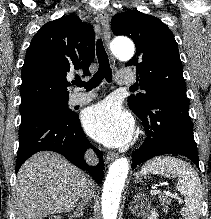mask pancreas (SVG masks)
Instances as JSON below:
<instances>
[{
    "label": "pancreas",
    "instance_id": "1",
    "mask_svg": "<svg viewBox=\"0 0 211 219\" xmlns=\"http://www.w3.org/2000/svg\"><path fill=\"white\" fill-rule=\"evenodd\" d=\"M159 201L163 205L164 210H167L168 209L167 205L171 204V199L169 197L165 196V195H160L159 196Z\"/></svg>",
    "mask_w": 211,
    "mask_h": 219
}]
</instances>
